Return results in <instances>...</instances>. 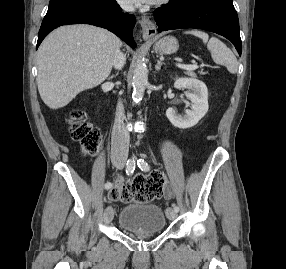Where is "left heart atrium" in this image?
<instances>
[{
	"mask_svg": "<svg viewBox=\"0 0 286 269\" xmlns=\"http://www.w3.org/2000/svg\"><path fill=\"white\" fill-rule=\"evenodd\" d=\"M128 4L134 5H151L155 3L157 0H124Z\"/></svg>",
	"mask_w": 286,
	"mask_h": 269,
	"instance_id": "1",
	"label": "left heart atrium"
}]
</instances>
